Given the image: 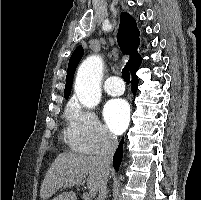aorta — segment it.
I'll list each match as a JSON object with an SVG mask.
<instances>
[{
    "instance_id": "obj_1",
    "label": "aorta",
    "mask_w": 201,
    "mask_h": 200,
    "mask_svg": "<svg viewBox=\"0 0 201 200\" xmlns=\"http://www.w3.org/2000/svg\"><path fill=\"white\" fill-rule=\"evenodd\" d=\"M102 76L103 60L101 56H89L80 65L74 89L78 100L86 108H94L99 104Z\"/></svg>"
}]
</instances>
